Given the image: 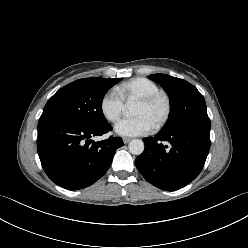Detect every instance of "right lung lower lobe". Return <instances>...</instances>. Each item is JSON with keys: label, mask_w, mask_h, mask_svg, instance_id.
Instances as JSON below:
<instances>
[{"label": "right lung lower lobe", "mask_w": 248, "mask_h": 248, "mask_svg": "<svg viewBox=\"0 0 248 248\" xmlns=\"http://www.w3.org/2000/svg\"><path fill=\"white\" fill-rule=\"evenodd\" d=\"M37 150L47 176L68 190L92 185L109 169L115 151L123 145L121 137L94 142L112 130L109 123L88 126L65 118L38 123Z\"/></svg>", "instance_id": "obj_1"}]
</instances>
